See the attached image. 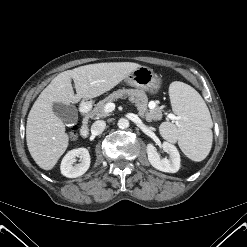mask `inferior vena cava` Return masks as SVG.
I'll use <instances>...</instances> for the list:
<instances>
[{
	"instance_id": "inferior-vena-cava-1",
	"label": "inferior vena cava",
	"mask_w": 247,
	"mask_h": 247,
	"mask_svg": "<svg viewBox=\"0 0 247 247\" xmlns=\"http://www.w3.org/2000/svg\"><path fill=\"white\" fill-rule=\"evenodd\" d=\"M106 127V123L103 120L95 121L91 126V133L93 135H99L101 134Z\"/></svg>"
}]
</instances>
